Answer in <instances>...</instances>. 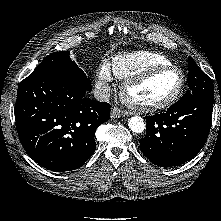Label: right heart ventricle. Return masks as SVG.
<instances>
[{
    "mask_svg": "<svg viewBox=\"0 0 221 221\" xmlns=\"http://www.w3.org/2000/svg\"><path fill=\"white\" fill-rule=\"evenodd\" d=\"M168 65H173L170 59L151 51L120 53L115 55L110 63L113 74L120 80H125L152 67Z\"/></svg>",
    "mask_w": 221,
    "mask_h": 221,
    "instance_id": "obj_1",
    "label": "right heart ventricle"
}]
</instances>
